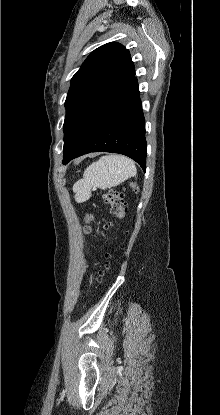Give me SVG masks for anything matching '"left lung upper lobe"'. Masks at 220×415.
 Segmentation results:
<instances>
[{
    "instance_id": "left-lung-upper-lobe-1",
    "label": "left lung upper lobe",
    "mask_w": 220,
    "mask_h": 415,
    "mask_svg": "<svg viewBox=\"0 0 220 415\" xmlns=\"http://www.w3.org/2000/svg\"><path fill=\"white\" fill-rule=\"evenodd\" d=\"M135 76L129 51L110 42L95 49L71 79L65 101L64 148L67 151L84 116L101 93L115 80Z\"/></svg>"
}]
</instances>
